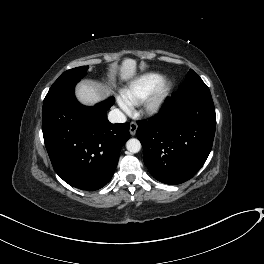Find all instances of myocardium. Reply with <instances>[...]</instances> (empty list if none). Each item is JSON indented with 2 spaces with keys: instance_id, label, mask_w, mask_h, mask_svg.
Wrapping results in <instances>:
<instances>
[{
  "instance_id": "obj_1",
  "label": "myocardium",
  "mask_w": 264,
  "mask_h": 264,
  "mask_svg": "<svg viewBox=\"0 0 264 264\" xmlns=\"http://www.w3.org/2000/svg\"><path fill=\"white\" fill-rule=\"evenodd\" d=\"M172 82L168 78L158 81L152 91L139 103L140 113L147 117H153L160 113L171 92Z\"/></svg>"
}]
</instances>
